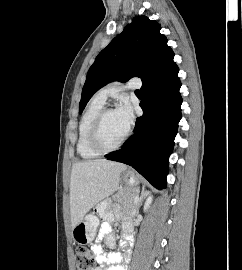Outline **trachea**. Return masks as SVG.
<instances>
[{"instance_id": "obj_1", "label": "trachea", "mask_w": 242, "mask_h": 270, "mask_svg": "<svg viewBox=\"0 0 242 270\" xmlns=\"http://www.w3.org/2000/svg\"><path fill=\"white\" fill-rule=\"evenodd\" d=\"M135 92H136V93H140V90H136Z\"/></svg>"}]
</instances>
